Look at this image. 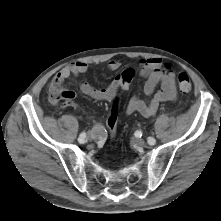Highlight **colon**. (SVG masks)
Wrapping results in <instances>:
<instances>
[{
    "mask_svg": "<svg viewBox=\"0 0 221 221\" xmlns=\"http://www.w3.org/2000/svg\"><path fill=\"white\" fill-rule=\"evenodd\" d=\"M177 80L179 89L182 93L187 94L192 90L190 78L186 73H179ZM126 83H128V81H126ZM48 96L52 103H59L63 100H73L75 94L72 91L64 89L60 82L54 81L49 87ZM120 99V94L115 93L113 97V106L107 119V126L111 137H114L116 132Z\"/></svg>",
    "mask_w": 221,
    "mask_h": 221,
    "instance_id": "colon-1",
    "label": "colon"
}]
</instances>
